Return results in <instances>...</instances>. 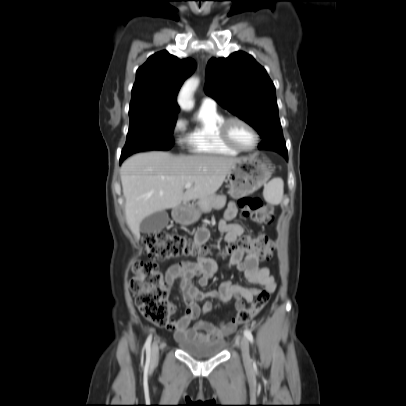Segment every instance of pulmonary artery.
I'll use <instances>...</instances> for the list:
<instances>
[{
    "label": "pulmonary artery",
    "instance_id": "pulmonary-artery-1",
    "mask_svg": "<svg viewBox=\"0 0 406 406\" xmlns=\"http://www.w3.org/2000/svg\"><path fill=\"white\" fill-rule=\"evenodd\" d=\"M201 106L215 107V106H216V102H215V100H213L212 98L204 97V98L201 100Z\"/></svg>",
    "mask_w": 406,
    "mask_h": 406
}]
</instances>
